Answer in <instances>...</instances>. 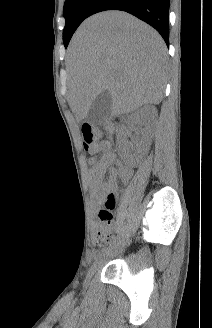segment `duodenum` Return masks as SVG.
Here are the masks:
<instances>
[{
  "instance_id": "duodenum-1",
  "label": "duodenum",
  "mask_w": 212,
  "mask_h": 328,
  "mask_svg": "<svg viewBox=\"0 0 212 328\" xmlns=\"http://www.w3.org/2000/svg\"><path fill=\"white\" fill-rule=\"evenodd\" d=\"M107 127L109 128V130H113L114 129V124L111 121L107 122Z\"/></svg>"
}]
</instances>
